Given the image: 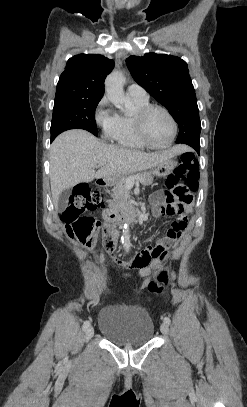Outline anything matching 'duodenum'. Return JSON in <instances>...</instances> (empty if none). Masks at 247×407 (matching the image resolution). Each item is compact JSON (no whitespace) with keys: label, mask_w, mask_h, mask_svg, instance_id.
<instances>
[{"label":"duodenum","mask_w":247,"mask_h":407,"mask_svg":"<svg viewBox=\"0 0 247 407\" xmlns=\"http://www.w3.org/2000/svg\"><path fill=\"white\" fill-rule=\"evenodd\" d=\"M95 183L99 186L104 185V180L96 179ZM139 215V211L136 207H120L114 206L104 210L103 218L108 222H115L117 225L122 222L134 221Z\"/></svg>","instance_id":"obj_1"}]
</instances>
